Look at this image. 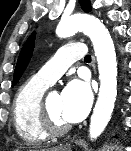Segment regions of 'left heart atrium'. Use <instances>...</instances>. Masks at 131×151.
Segmentation results:
<instances>
[{
    "label": "left heart atrium",
    "mask_w": 131,
    "mask_h": 151,
    "mask_svg": "<svg viewBox=\"0 0 131 151\" xmlns=\"http://www.w3.org/2000/svg\"><path fill=\"white\" fill-rule=\"evenodd\" d=\"M92 90L85 80L70 81L61 93L62 116L68 123L81 121L88 114L92 104Z\"/></svg>",
    "instance_id": "39dd6f15"
}]
</instances>
